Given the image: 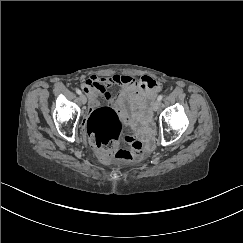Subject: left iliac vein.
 Instances as JSON below:
<instances>
[{
	"label": "left iliac vein",
	"instance_id": "left-iliac-vein-1",
	"mask_svg": "<svg viewBox=\"0 0 243 243\" xmlns=\"http://www.w3.org/2000/svg\"><path fill=\"white\" fill-rule=\"evenodd\" d=\"M153 111H158L159 108H160V101H155L154 104H153Z\"/></svg>",
	"mask_w": 243,
	"mask_h": 243
}]
</instances>
